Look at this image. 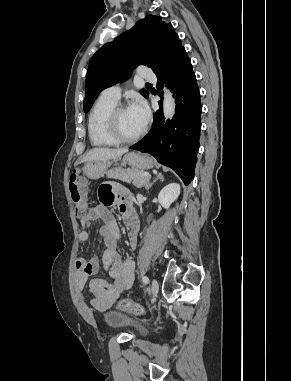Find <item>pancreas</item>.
Masks as SVG:
<instances>
[{
    "label": "pancreas",
    "instance_id": "cf45deb5",
    "mask_svg": "<svg viewBox=\"0 0 291 381\" xmlns=\"http://www.w3.org/2000/svg\"><path fill=\"white\" fill-rule=\"evenodd\" d=\"M143 171L137 169L116 168L107 173L108 178L118 179L124 182L133 183L136 187H141L149 181V178L144 177Z\"/></svg>",
    "mask_w": 291,
    "mask_h": 381
}]
</instances>
